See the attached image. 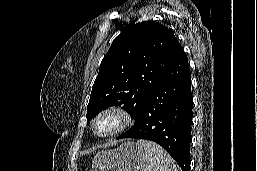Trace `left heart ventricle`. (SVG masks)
I'll return each instance as SVG.
<instances>
[{"label":"left heart ventricle","instance_id":"1","mask_svg":"<svg viewBox=\"0 0 257 171\" xmlns=\"http://www.w3.org/2000/svg\"><path fill=\"white\" fill-rule=\"evenodd\" d=\"M118 120L115 116L109 115L103 117L96 125V131L98 133H106L116 127Z\"/></svg>","mask_w":257,"mask_h":171}]
</instances>
